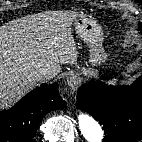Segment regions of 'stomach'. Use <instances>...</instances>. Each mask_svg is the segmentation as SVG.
I'll use <instances>...</instances> for the list:
<instances>
[{
	"mask_svg": "<svg viewBox=\"0 0 142 142\" xmlns=\"http://www.w3.org/2000/svg\"><path fill=\"white\" fill-rule=\"evenodd\" d=\"M76 34L90 47V59L93 64H100L106 58L102 47L103 31L97 22L88 15L79 14L74 20Z\"/></svg>",
	"mask_w": 142,
	"mask_h": 142,
	"instance_id": "stomach-1",
	"label": "stomach"
}]
</instances>
